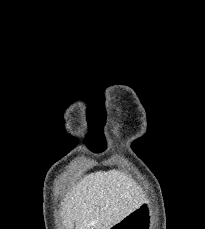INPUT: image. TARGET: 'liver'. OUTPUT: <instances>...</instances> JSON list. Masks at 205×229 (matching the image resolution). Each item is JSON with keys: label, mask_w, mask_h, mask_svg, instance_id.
I'll return each instance as SVG.
<instances>
[{"label": "liver", "mask_w": 205, "mask_h": 229, "mask_svg": "<svg viewBox=\"0 0 205 229\" xmlns=\"http://www.w3.org/2000/svg\"><path fill=\"white\" fill-rule=\"evenodd\" d=\"M132 181L112 170L85 176L67 193L62 216L67 229H110L138 206Z\"/></svg>", "instance_id": "1"}]
</instances>
